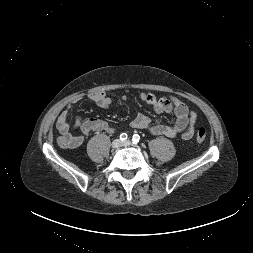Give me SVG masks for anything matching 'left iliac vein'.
Segmentation results:
<instances>
[{"label":"left iliac vein","instance_id":"obj_1","mask_svg":"<svg viewBox=\"0 0 253 253\" xmlns=\"http://www.w3.org/2000/svg\"><path fill=\"white\" fill-rule=\"evenodd\" d=\"M130 145H131V142L129 140L121 143V146H124V147L130 146Z\"/></svg>","mask_w":253,"mask_h":253}]
</instances>
